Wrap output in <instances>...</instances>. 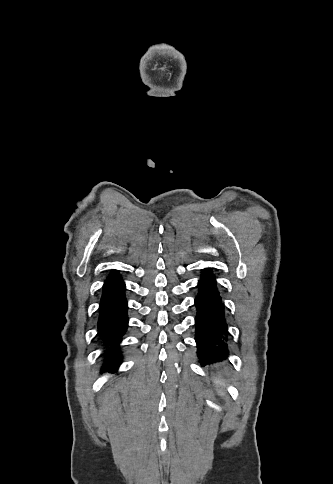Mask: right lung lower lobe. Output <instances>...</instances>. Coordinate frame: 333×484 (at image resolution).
Returning <instances> with one entry per match:
<instances>
[{"label": "right lung lower lobe", "instance_id": "right-lung-lower-lobe-1", "mask_svg": "<svg viewBox=\"0 0 333 484\" xmlns=\"http://www.w3.org/2000/svg\"><path fill=\"white\" fill-rule=\"evenodd\" d=\"M125 284L120 275L113 270L103 286L100 302V316L98 320L99 335L105 346H111L103 372H114L120 365L119 351L115 349L121 342L128 325L127 301L125 298Z\"/></svg>", "mask_w": 333, "mask_h": 484}]
</instances>
